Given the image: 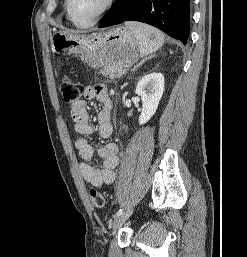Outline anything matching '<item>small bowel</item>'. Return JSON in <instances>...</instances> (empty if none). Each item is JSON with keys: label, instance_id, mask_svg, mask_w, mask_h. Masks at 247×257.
<instances>
[{"label": "small bowel", "instance_id": "small-bowel-1", "mask_svg": "<svg viewBox=\"0 0 247 257\" xmlns=\"http://www.w3.org/2000/svg\"><path fill=\"white\" fill-rule=\"evenodd\" d=\"M84 99L78 100L71 105V117L75 131L81 135L75 140V148L81 159L79 169L83 179L94 187L111 184L115 179V168L118 165V145L109 142L95 149L85 138L95 133V127L91 124L90 114L86 100L97 99L102 107L97 114L98 135L103 139H109L113 135L112 101L104 85L98 84L87 86L83 91ZM94 156L102 160V166L96 167L91 164Z\"/></svg>", "mask_w": 247, "mask_h": 257}]
</instances>
